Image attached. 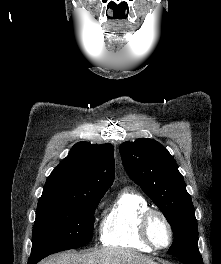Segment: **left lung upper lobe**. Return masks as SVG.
<instances>
[{
  "label": "left lung upper lobe",
  "instance_id": "obj_1",
  "mask_svg": "<svg viewBox=\"0 0 221 264\" xmlns=\"http://www.w3.org/2000/svg\"><path fill=\"white\" fill-rule=\"evenodd\" d=\"M119 150L129 177L140 185L171 225L174 241L168 253L198 255L195 210L183 176L168 150L147 138L125 142Z\"/></svg>",
  "mask_w": 221,
  "mask_h": 264
}]
</instances>
